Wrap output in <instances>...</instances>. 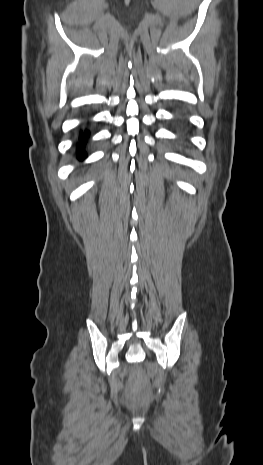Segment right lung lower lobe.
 Returning a JSON list of instances; mask_svg holds the SVG:
<instances>
[{"label":"right lung lower lobe","mask_w":263,"mask_h":465,"mask_svg":"<svg viewBox=\"0 0 263 465\" xmlns=\"http://www.w3.org/2000/svg\"><path fill=\"white\" fill-rule=\"evenodd\" d=\"M87 135H88L87 131H85L84 133H80L79 135L80 147H78L77 149V157L79 160H83L84 158L87 157L85 150L82 148L86 143Z\"/></svg>","instance_id":"obj_1"}]
</instances>
